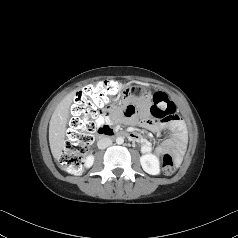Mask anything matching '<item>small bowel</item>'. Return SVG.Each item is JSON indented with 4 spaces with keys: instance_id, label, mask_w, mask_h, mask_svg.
<instances>
[{
    "instance_id": "small-bowel-1",
    "label": "small bowel",
    "mask_w": 238,
    "mask_h": 238,
    "mask_svg": "<svg viewBox=\"0 0 238 238\" xmlns=\"http://www.w3.org/2000/svg\"><path fill=\"white\" fill-rule=\"evenodd\" d=\"M140 96H144L143 93H140ZM138 113L140 118L136 117L137 109L132 104H127L122 109L123 116L127 119L131 124H139L142 127L154 132L160 133L163 131L165 127H168L170 130V135L166 138L157 148L156 154L162 155L165 152H173L176 156H180L187 143V132L184 123L179 119L175 118L168 123L157 122L152 120L147 115V102L146 100H142ZM113 111L105 110L101 111L95 119L96 125L98 127L107 126L112 122ZM138 136V141L141 144V149L143 153H149L152 150L151 143L141 136L140 134H136Z\"/></svg>"
}]
</instances>
